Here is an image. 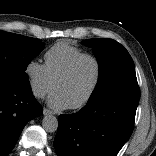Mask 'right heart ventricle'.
I'll return each mask as SVG.
<instances>
[{
	"mask_svg": "<svg viewBox=\"0 0 156 156\" xmlns=\"http://www.w3.org/2000/svg\"><path fill=\"white\" fill-rule=\"evenodd\" d=\"M83 53V50L65 41L58 42L49 48L44 55V65L51 80L55 82L71 61Z\"/></svg>",
	"mask_w": 156,
	"mask_h": 156,
	"instance_id": "right-heart-ventricle-1",
	"label": "right heart ventricle"
}]
</instances>
